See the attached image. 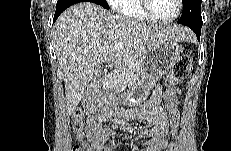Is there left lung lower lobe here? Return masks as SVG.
<instances>
[{
	"instance_id": "0a47b994",
	"label": "left lung lower lobe",
	"mask_w": 231,
	"mask_h": 151,
	"mask_svg": "<svg viewBox=\"0 0 231 151\" xmlns=\"http://www.w3.org/2000/svg\"><path fill=\"white\" fill-rule=\"evenodd\" d=\"M189 28H191L195 33L196 36L198 37V40H200V34H201V24H191L188 26Z\"/></svg>"
}]
</instances>
